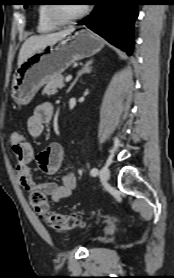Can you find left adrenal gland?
<instances>
[{
	"label": "left adrenal gland",
	"mask_w": 174,
	"mask_h": 278,
	"mask_svg": "<svg viewBox=\"0 0 174 278\" xmlns=\"http://www.w3.org/2000/svg\"><path fill=\"white\" fill-rule=\"evenodd\" d=\"M93 63V60H90L88 62H86V64L82 67V69L78 72L75 80L71 83L70 87L68 88L67 92L69 93L72 88L74 87V85L77 83L78 79L83 75V74H86V73H90L92 71V65Z\"/></svg>",
	"instance_id": "1"
}]
</instances>
